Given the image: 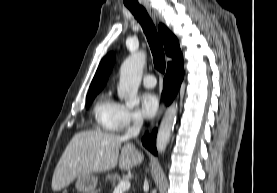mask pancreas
I'll list each match as a JSON object with an SVG mask.
<instances>
[{"label": "pancreas", "instance_id": "obj_1", "mask_svg": "<svg viewBox=\"0 0 277 193\" xmlns=\"http://www.w3.org/2000/svg\"><path fill=\"white\" fill-rule=\"evenodd\" d=\"M122 179L119 174H108L106 176V181H110L112 186H115L116 182H120Z\"/></svg>", "mask_w": 277, "mask_h": 193}]
</instances>
